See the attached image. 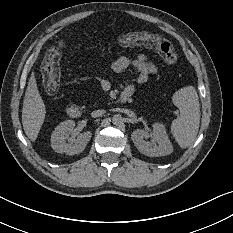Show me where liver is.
<instances>
[{
    "mask_svg": "<svg viewBox=\"0 0 233 233\" xmlns=\"http://www.w3.org/2000/svg\"><path fill=\"white\" fill-rule=\"evenodd\" d=\"M45 105L39 94L35 77L30 76L22 107V121L25 133L34 140L45 118Z\"/></svg>",
    "mask_w": 233,
    "mask_h": 233,
    "instance_id": "liver-1",
    "label": "liver"
}]
</instances>
